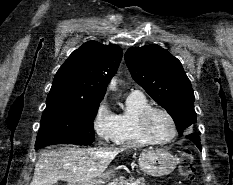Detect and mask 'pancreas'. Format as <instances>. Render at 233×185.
<instances>
[{
    "label": "pancreas",
    "instance_id": "cf45deb5",
    "mask_svg": "<svg viewBox=\"0 0 233 185\" xmlns=\"http://www.w3.org/2000/svg\"><path fill=\"white\" fill-rule=\"evenodd\" d=\"M107 185H148L144 178H140L138 180H126L123 177L114 178Z\"/></svg>",
    "mask_w": 233,
    "mask_h": 185
}]
</instances>
